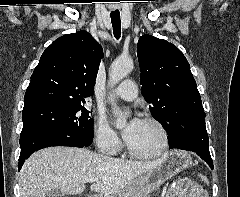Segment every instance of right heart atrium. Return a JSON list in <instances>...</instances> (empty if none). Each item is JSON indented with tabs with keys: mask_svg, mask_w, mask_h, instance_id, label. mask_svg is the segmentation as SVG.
Returning a JSON list of instances; mask_svg holds the SVG:
<instances>
[{
	"mask_svg": "<svg viewBox=\"0 0 240 197\" xmlns=\"http://www.w3.org/2000/svg\"><path fill=\"white\" fill-rule=\"evenodd\" d=\"M93 135L95 145L100 152L114 155L120 150V138L105 118L99 117L95 121Z\"/></svg>",
	"mask_w": 240,
	"mask_h": 197,
	"instance_id": "d8ad5b80",
	"label": "right heart atrium"
}]
</instances>
